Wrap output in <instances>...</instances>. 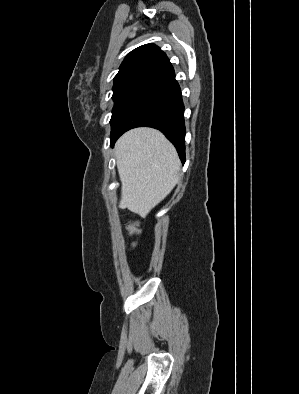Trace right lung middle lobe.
<instances>
[{
	"instance_id": "1",
	"label": "right lung middle lobe",
	"mask_w": 299,
	"mask_h": 394,
	"mask_svg": "<svg viewBox=\"0 0 299 394\" xmlns=\"http://www.w3.org/2000/svg\"><path fill=\"white\" fill-rule=\"evenodd\" d=\"M147 89L148 88L144 86H122L113 89L112 99L114 100V107L110 120L111 132L115 129L116 125L131 104Z\"/></svg>"
}]
</instances>
